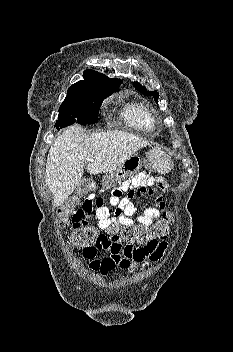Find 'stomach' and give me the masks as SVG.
Wrapping results in <instances>:
<instances>
[{"instance_id": "0dacf381", "label": "stomach", "mask_w": 233, "mask_h": 352, "mask_svg": "<svg viewBox=\"0 0 233 352\" xmlns=\"http://www.w3.org/2000/svg\"><path fill=\"white\" fill-rule=\"evenodd\" d=\"M172 160L168 154L158 148H151L142 160L133 155L125 160L116 169L107 173L103 179V186L111 188L121 183L128 175L139 171L142 167L156 173H167L172 168Z\"/></svg>"}]
</instances>
